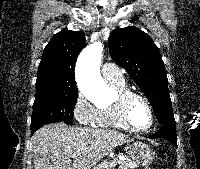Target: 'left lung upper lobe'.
<instances>
[{"instance_id":"1","label":"left lung upper lobe","mask_w":200,"mask_h":169,"mask_svg":"<svg viewBox=\"0 0 200 169\" xmlns=\"http://www.w3.org/2000/svg\"><path fill=\"white\" fill-rule=\"evenodd\" d=\"M111 58L123 67L148 98L158 122L175 125L164 62L152 39L136 27L109 36Z\"/></svg>"}]
</instances>
